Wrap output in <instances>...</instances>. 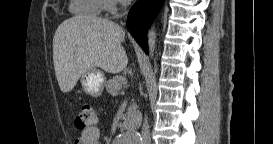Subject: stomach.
<instances>
[{"label": "stomach", "instance_id": "obj_1", "mask_svg": "<svg viewBox=\"0 0 273 144\" xmlns=\"http://www.w3.org/2000/svg\"><path fill=\"white\" fill-rule=\"evenodd\" d=\"M105 82L106 78L104 73L97 68H92L81 75L83 90L93 97L102 95Z\"/></svg>", "mask_w": 273, "mask_h": 144}]
</instances>
